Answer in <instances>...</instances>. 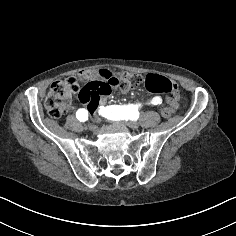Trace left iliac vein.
Listing matches in <instances>:
<instances>
[{"mask_svg": "<svg viewBox=\"0 0 236 236\" xmlns=\"http://www.w3.org/2000/svg\"><path fill=\"white\" fill-rule=\"evenodd\" d=\"M129 129L134 130L139 128V123L136 121H131L128 124Z\"/></svg>", "mask_w": 236, "mask_h": 236, "instance_id": "left-iliac-vein-1", "label": "left iliac vein"}]
</instances>
